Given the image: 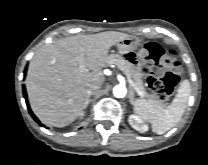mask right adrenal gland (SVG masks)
Wrapping results in <instances>:
<instances>
[{
  "label": "right adrenal gland",
  "mask_w": 208,
  "mask_h": 165,
  "mask_svg": "<svg viewBox=\"0 0 208 165\" xmlns=\"http://www.w3.org/2000/svg\"><path fill=\"white\" fill-rule=\"evenodd\" d=\"M91 96H92V94H89V95L87 96V100H86V103H85V108L89 105V103H90V101H91V99H90Z\"/></svg>",
  "instance_id": "right-adrenal-gland-1"
}]
</instances>
